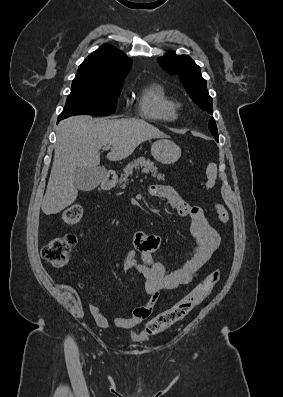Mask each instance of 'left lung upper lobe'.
<instances>
[{
    "label": "left lung upper lobe",
    "instance_id": "1",
    "mask_svg": "<svg viewBox=\"0 0 283 397\" xmlns=\"http://www.w3.org/2000/svg\"><path fill=\"white\" fill-rule=\"evenodd\" d=\"M159 65L170 74L179 75L187 93L202 109L212 114V98L206 88V80L202 78L201 69L188 55H176L167 52L158 59ZM209 130L214 138H218L215 120L209 122Z\"/></svg>",
    "mask_w": 283,
    "mask_h": 397
}]
</instances>
